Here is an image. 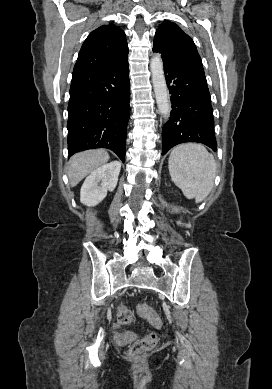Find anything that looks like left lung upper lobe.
Here are the masks:
<instances>
[{"label":"left lung upper lobe","instance_id":"1","mask_svg":"<svg viewBox=\"0 0 272 389\" xmlns=\"http://www.w3.org/2000/svg\"><path fill=\"white\" fill-rule=\"evenodd\" d=\"M153 51L161 53L163 61L168 63L202 66L193 40L178 25L169 21L159 25Z\"/></svg>","mask_w":272,"mask_h":389}]
</instances>
